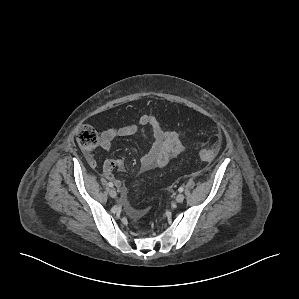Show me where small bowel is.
I'll return each instance as SVG.
<instances>
[{
  "label": "small bowel",
  "mask_w": 299,
  "mask_h": 299,
  "mask_svg": "<svg viewBox=\"0 0 299 299\" xmlns=\"http://www.w3.org/2000/svg\"><path fill=\"white\" fill-rule=\"evenodd\" d=\"M148 126L152 129V142L149 150L141 157V168L144 171L162 168L184 151V145L178 133L165 131L153 116L144 115L137 124L128 123L117 128L111 127L101 131L100 147L109 150L115 138L134 135L138 132H142L143 136L149 139V135L145 131ZM90 164L94 166L96 164L95 160L91 159ZM122 167L120 160L107 159L103 165V173L106 178L112 180L117 187L124 191L121 181L113 175L115 168L122 169ZM141 213V211H134L133 215L138 216Z\"/></svg>",
  "instance_id": "1"
}]
</instances>
